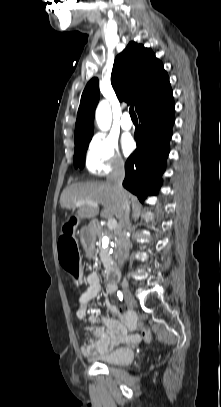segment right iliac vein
<instances>
[{
    "label": "right iliac vein",
    "mask_w": 221,
    "mask_h": 407,
    "mask_svg": "<svg viewBox=\"0 0 221 407\" xmlns=\"http://www.w3.org/2000/svg\"><path fill=\"white\" fill-rule=\"evenodd\" d=\"M123 293H124V299H125V303L129 308H133L136 304V301L134 299V297L132 296L130 290L128 289V287L124 284L123 285Z\"/></svg>",
    "instance_id": "63e3f726"
}]
</instances>
